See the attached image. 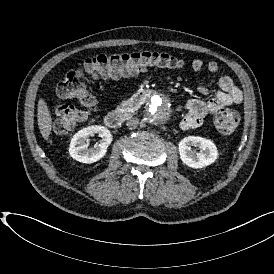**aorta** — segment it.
<instances>
[{"mask_svg":"<svg viewBox=\"0 0 274 274\" xmlns=\"http://www.w3.org/2000/svg\"><path fill=\"white\" fill-rule=\"evenodd\" d=\"M172 116V105L165 96L154 95L145 111V120L152 125H163Z\"/></svg>","mask_w":274,"mask_h":274,"instance_id":"aorta-1","label":"aorta"}]
</instances>
